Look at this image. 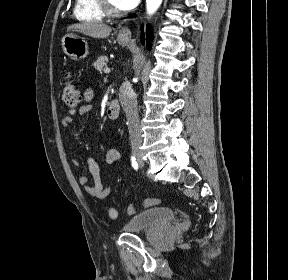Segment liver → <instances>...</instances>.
Listing matches in <instances>:
<instances>
[{
	"label": "liver",
	"mask_w": 288,
	"mask_h": 280,
	"mask_svg": "<svg viewBox=\"0 0 288 280\" xmlns=\"http://www.w3.org/2000/svg\"><path fill=\"white\" fill-rule=\"evenodd\" d=\"M68 30H75L93 38H106L112 31L111 27L102 23H77L71 25Z\"/></svg>",
	"instance_id": "liver-1"
}]
</instances>
